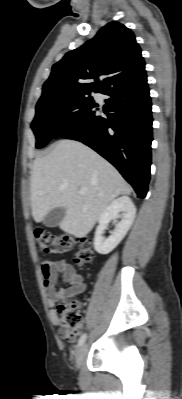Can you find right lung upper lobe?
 I'll list each match as a JSON object with an SVG mask.
<instances>
[{
	"instance_id": "right-lung-upper-lobe-1",
	"label": "right lung upper lobe",
	"mask_w": 182,
	"mask_h": 399,
	"mask_svg": "<svg viewBox=\"0 0 182 399\" xmlns=\"http://www.w3.org/2000/svg\"><path fill=\"white\" fill-rule=\"evenodd\" d=\"M103 75L107 77L99 81ZM145 75V62L133 32L121 23L110 22L93 39L53 65L39 101L92 92L104 94L116 84Z\"/></svg>"
}]
</instances>
